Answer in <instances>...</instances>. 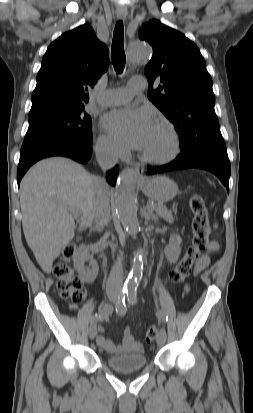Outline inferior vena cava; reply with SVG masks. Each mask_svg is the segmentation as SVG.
I'll return each mask as SVG.
<instances>
[{
    "label": "inferior vena cava",
    "mask_w": 253,
    "mask_h": 413,
    "mask_svg": "<svg viewBox=\"0 0 253 413\" xmlns=\"http://www.w3.org/2000/svg\"><path fill=\"white\" fill-rule=\"evenodd\" d=\"M96 160L103 171L113 168L118 161V153L112 146L105 145L96 151ZM94 220L96 227L103 228L110 220L109 189L105 178L95 180ZM123 283V267L120 261L112 268L106 283L108 293L120 291Z\"/></svg>",
    "instance_id": "obj_1"
}]
</instances>
